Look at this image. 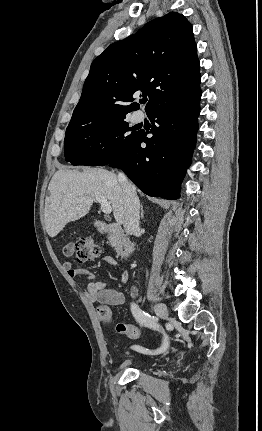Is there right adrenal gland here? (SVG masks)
I'll list each match as a JSON object with an SVG mask.
<instances>
[{
    "instance_id": "1",
    "label": "right adrenal gland",
    "mask_w": 262,
    "mask_h": 431,
    "mask_svg": "<svg viewBox=\"0 0 262 431\" xmlns=\"http://www.w3.org/2000/svg\"><path fill=\"white\" fill-rule=\"evenodd\" d=\"M140 210H141V219H143V217H144V210H143L142 204L140 205Z\"/></svg>"
}]
</instances>
